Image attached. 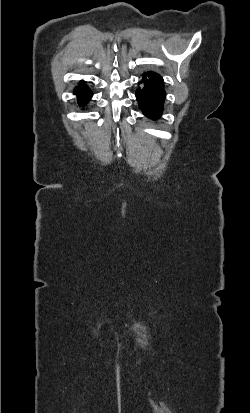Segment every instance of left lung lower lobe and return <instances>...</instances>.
Wrapping results in <instances>:
<instances>
[{
	"label": "left lung lower lobe",
	"instance_id": "0a47b994",
	"mask_svg": "<svg viewBox=\"0 0 250 413\" xmlns=\"http://www.w3.org/2000/svg\"><path fill=\"white\" fill-rule=\"evenodd\" d=\"M140 84L136 98L142 113L151 119L159 118L166 97L162 77L154 72H144Z\"/></svg>",
	"mask_w": 250,
	"mask_h": 413
}]
</instances>
